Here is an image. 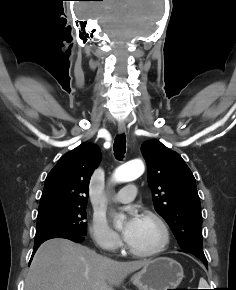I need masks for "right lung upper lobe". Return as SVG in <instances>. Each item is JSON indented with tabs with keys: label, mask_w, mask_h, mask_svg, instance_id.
I'll list each match as a JSON object with an SVG mask.
<instances>
[{
	"label": "right lung upper lobe",
	"mask_w": 236,
	"mask_h": 290,
	"mask_svg": "<svg viewBox=\"0 0 236 290\" xmlns=\"http://www.w3.org/2000/svg\"><path fill=\"white\" fill-rule=\"evenodd\" d=\"M100 161L96 145L84 143L64 154L45 180L39 209L85 206L90 177Z\"/></svg>",
	"instance_id": "right-lung-upper-lobe-1"
}]
</instances>
